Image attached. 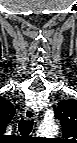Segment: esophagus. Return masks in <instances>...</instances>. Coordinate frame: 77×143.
I'll use <instances>...</instances> for the list:
<instances>
[{
  "label": "esophagus",
  "mask_w": 77,
  "mask_h": 143,
  "mask_svg": "<svg viewBox=\"0 0 77 143\" xmlns=\"http://www.w3.org/2000/svg\"><path fill=\"white\" fill-rule=\"evenodd\" d=\"M22 115L26 120H31L33 118H36V112L29 108L24 109Z\"/></svg>",
  "instance_id": "esophagus-1"
}]
</instances>
